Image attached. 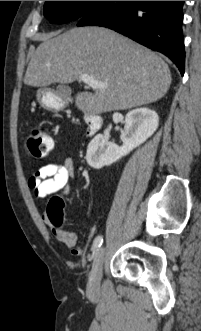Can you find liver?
<instances>
[{
    "instance_id": "6515ba94",
    "label": "liver",
    "mask_w": 201,
    "mask_h": 331,
    "mask_svg": "<svg viewBox=\"0 0 201 331\" xmlns=\"http://www.w3.org/2000/svg\"><path fill=\"white\" fill-rule=\"evenodd\" d=\"M81 74L107 84L75 97L77 108L93 115L156 102L172 82L168 65L151 50L106 28L81 27L45 36L28 64L24 83L68 84Z\"/></svg>"
}]
</instances>
